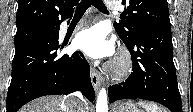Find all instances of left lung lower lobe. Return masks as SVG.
<instances>
[{"label": "left lung lower lobe", "instance_id": "obj_1", "mask_svg": "<svg viewBox=\"0 0 193 112\" xmlns=\"http://www.w3.org/2000/svg\"><path fill=\"white\" fill-rule=\"evenodd\" d=\"M124 43L132 57L133 72L125 82L109 87V101L146 99L172 112H182L173 63L171 26L146 31L134 43Z\"/></svg>", "mask_w": 193, "mask_h": 112}]
</instances>
